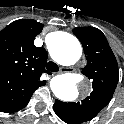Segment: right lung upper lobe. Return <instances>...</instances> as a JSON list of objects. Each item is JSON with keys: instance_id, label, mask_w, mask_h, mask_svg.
I'll return each instance as SVG.
<instances>
[{"instance_id": "1", "label": "right lung upper lobe", "mask_w": 124, "mask_h": 124, "mask_svg": "<svg viewBox=\"0 0 124 124\" xmlns=\"http://www.w3.org/2000/svg\"><path fill=\"white\" fill-rule=\"evenodd\" d=\"M43 24L32 19L14 21L0 31V111L16 112L28 104L33 92L45 85L47 53L34 45Z\"/></svg>"}]
</instances>
